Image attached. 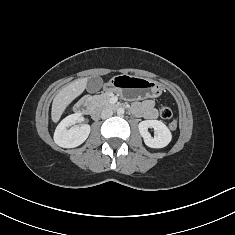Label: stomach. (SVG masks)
<instances>
[{
    "mask_svg": "<svg viewBox=\"0 0 235 235\" xmlns=\"http://www.w3.org/2000/svg\"><path fill=\"white\" fill-rule=\"evenodd\" d=\"M105 89L117 93L126 100L156 98L163 90L161 84L154 80L128 74L114 76L106 84Z\"/></svg>",
    "mask_w": 235,
    "mask_h": 235,
    "instance_id": "stomach-1",
    "label": "stomach"
}]
</instances>
